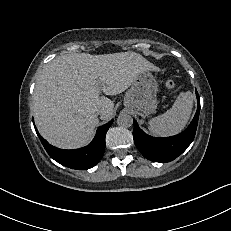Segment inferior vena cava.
I'll return each instance as SVG.
<instances>
[{
    "mask_svg": "<svg viewBox=\"0 0 231 231\" xmlns=\"http://www.w3.org/2000/svg\"><path fill=\"white\" fill-rule=\"evenodd\" d=\"M102 113H103V110H102V109L97 110V114H98V115H100V114H102Z\"/></svg>",
    "mask_w": 231,
    "mask_h": 231,
    "instance_id": "1",
    "label": "inferior vena cava"
}]
</instances>
